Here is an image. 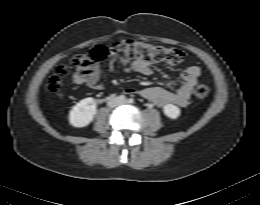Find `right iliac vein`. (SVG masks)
I'll list each match as a JSON object with an SVG mask.
<instances>
[{"label":"right iliac vein","mask_w":260,"mask_h":205,"mask_svg":"<svg viewBox=\"0 0 260 205\" xmlns=\"http://www.w3.org/2000/svg\"><path fill=\"white\" fill-rule=\"evenodd\" d=\"M119 99L118 98H112L111 100H110V103H111V105L112 106H116V105H118L119 104Z\"/></svg>","instance_id":"right-iliac-vein-1"}]
</instances>
